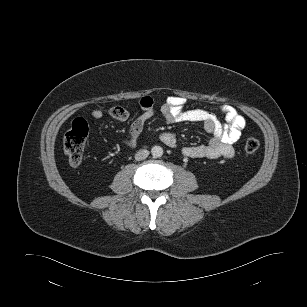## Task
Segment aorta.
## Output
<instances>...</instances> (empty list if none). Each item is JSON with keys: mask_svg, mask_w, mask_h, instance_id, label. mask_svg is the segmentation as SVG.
Here are the masks:
<instances>
[{"mask_svg": "<svg viewBox=\"0 0 307 307\" xmlns=\"http://www.w3.org/2000/svg\"><path fill=\"white\" fill-rule=\"evenodd\" d=\"M151 154L154 158L161 157L163 155V148L161 146H153Z\"/></svg>", "mask_w": 307, "mask_h": 307, "instance_id": "obj_1", "label": "aorta"}]
</instances>
